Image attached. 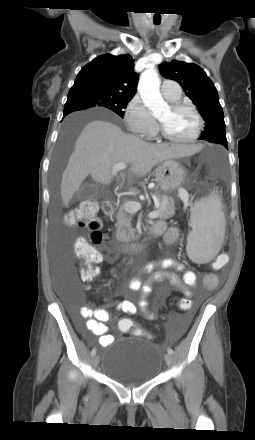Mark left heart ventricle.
Here are the masks:
<instances>
[{
    "label": "left heart ventricle",
    "instance_id": "left-heart-ventricle-1",
    "mask_svg": "<svg viewBox=\"0 0 255 440\" xmlns=\"http://www.w3.org/2000/svg\"><path fill=\"white\" fill-rule=\"evenodd\" d=\"M158 120L162 123L165 130L177 139L191 137L197 128L196 117L187 109L172 111L171 108H168L158 116Z\"/></svg>",
    "mask_w": 255,
    "mask_h": 440
}]
</instances>
